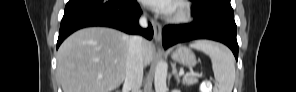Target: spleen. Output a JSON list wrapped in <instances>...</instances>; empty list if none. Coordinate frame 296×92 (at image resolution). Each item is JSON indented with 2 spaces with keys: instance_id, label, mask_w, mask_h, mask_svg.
I'll return each mask as SVG.
<instances>
[{
  "instance_id": "3e777b00",
  "label": "spleen",
  "mask_w": 296,
  "mask_h": 92,
  "mask_svg": "<svg viewBox=\"0 0 296 92\" xmlns=\"http://www.w3.org/2000/svg\"><path fill=\"white\" fill-rule=\"evenodd\" d=\"M191 48L207 54L212 62L217 87L214 92H232L235 81L234 57L231 51L212 41L199 40L190 44Z\"/></svg>"
}]
</instances>
